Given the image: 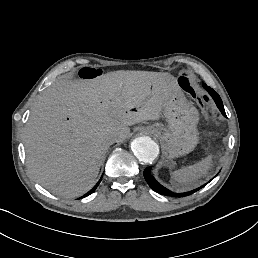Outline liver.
I'll return each mask as SVG.
<instances>
[{"mask_svg":"<svg viewBox=\"0 0 258 258\" xmlns=\"http://www.w3.org/2000/svg\"><path fill=\"white\" fill-rule=\"evenodd\" d=\"M172 77L118 70L90 80L54 82L33 105L24 128L32 176L61 197L86 193L108 150L105 137L113 133L122 142L130 134L128 125L158 118Z\"/></svg>","mask_w":258,"mask_h":258,"instance_id":"liver-1","label":"liver"}]
</instances>
